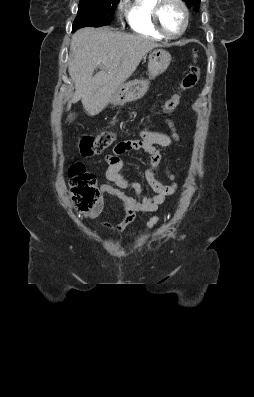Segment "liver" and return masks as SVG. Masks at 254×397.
Instances as JSON below:
<instances>
[{"instance_id": "liver-1", "label": "liver", "mask_w": 254, "mask_h": 397, "mask_svg": "<svg viewBox=\"0 0 254 397\" xmlns=\"http://www.w3.org/2000/svg\"><path fill=\"white\" fill-rule=\"evenodd\" d=\"M156 47L160 44L147 37L117 32L109 27L78 30L70 44L68 72L74 81L75 93L68 107L81 100L89 115H98L111 102L113 92ZM97 67L101 70L93 77Z\"/></svg>"}]
</instances>
